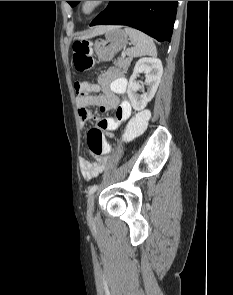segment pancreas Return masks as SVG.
Here are the masks:
<instances>
[{
	"instance_id": "cf45deb5",
	"label": "pancreas",
	"mask_w": 233,
	"mask_h": 295,
	"mask_svg": "<svg viewBox=\"0 0 233 295\" xmlns=\"http://www.w3.org/2000/svg\"><path fill=\"white\" fill-rule=\"evenodd\" d=\"M132 61V58L129 57V58H123V59H120L117 63V66L120 68V69H123V70H127L128 67L130 66V63Z\"/></svg>"
}]
</instances>
